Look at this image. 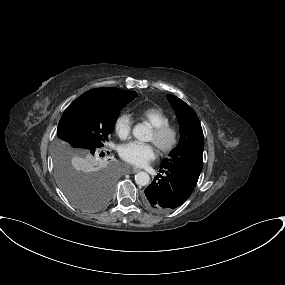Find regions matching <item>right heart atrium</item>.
I'll list each match as a JSON object with an SVG mask.
<instances>
[{
	"label": "right heart atrium",
	"instance_id": "1",
	"mask_svg": "<svg viewBox=\"0 0 285 285\" xmlns=\"http://www.w3.org/2000/svg\"><path fill=\"white\" fill-rule=\"evenodd\" d=\"M133 126V120L130 115L122 113L114 121V131L121 139L129 137Z\"/></svg>",
	"mask_w": 285,
	"mask_h": 285
}]
</instances>
